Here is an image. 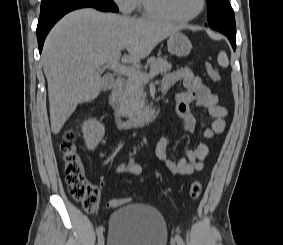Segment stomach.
Wrapping results in <instances>:
<instances>
[{
	"label": "stomach",
	"instance_id": "1",
	"mask_svg": "<svg viewBox=\"0 0 283 245\" xmlns=\"http://www.w3.org/2000/svg\"><path fill=\"white\" fill-rule=\"evenodd\" d=\"M167 47L170 54L185 57L191 52L192 44L186 35L177 31L170 35Z\"/></svg>",
	"mask_w": 283,
	"mask_h": 245
}]
</instances>
